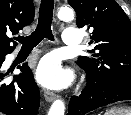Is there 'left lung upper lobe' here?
I'll use <instances>...</instances> for the list:
<instances>
[{"mask_svg": "<svg viewBox=\"0 0 131 115\" xmlns=\"http://www.w3.org/2000/svg\"><path fill=\"white\" fill-rule=\"evenodd\" d=\"M79 28L93 29L89 50L77 64L87 77L105 85H131V21L114 0H68Z\"/></svg>", "mask_w": 131, "mask_h": 115, "instance_id": "1", "label": "left lung upper lobe"}]
</instances>
